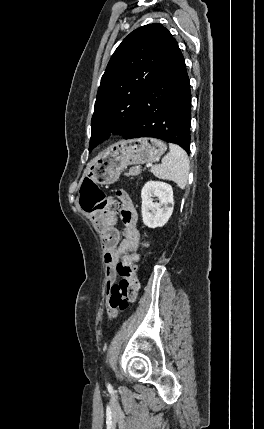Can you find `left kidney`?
I'll use <instances>...</instances> for the list:
<instances>
[{"mask_svg": "<svg viewBox=\"0 0 264 429\" xmlns=\"http://www.w3.org/2000/svg\"><path fill=\"white\" fill-rule=\"evenodd\" d=\"M157 197L159 202H153L152 197ZM142 219L149 228L164 226L173 213L172 187L160 181H148L142 188Z\"/></svg>", "mask_w": 264, "mask_h": 429, "instance_id": "obj_1", "label": "left kidney"}]
</instances>
